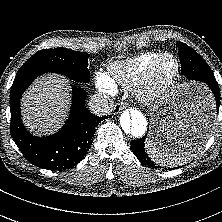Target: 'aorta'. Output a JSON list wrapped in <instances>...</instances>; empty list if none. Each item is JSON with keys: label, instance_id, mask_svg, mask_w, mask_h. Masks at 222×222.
Masks as SVG:
<instances>
[{"label": "aorta", "instance_id": "obj_1", "mask_svg": "<svg viewBox=\"0 0 222 222\" xmlns=\"http://www.w3.org/2000/svg\"><path fill=\"white\" fill-rule=\"evenodd\" d=\"M120 127L123 133L133 138L142 137L147 130L145 115L136 108L125 110L120 115Z\"/></svg>", "mask_w": 222, "mask_h": 222}]
</instances>
